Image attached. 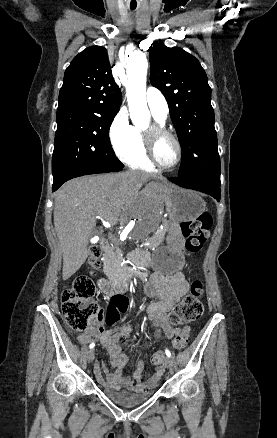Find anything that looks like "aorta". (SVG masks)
<instances>
[{"label":"aorta","instance_id":"1","mask_svg":"<svg viewBox=\"0 0 277 438\" xmlns=\"http://www.w3.org/2000/svg\"><path fill=\"white\" fill-rule=\"evenodd\" d=\"M127 83L126 91L132 123L145 127L150 120V112L146 102V75L148 62L140 51H134L126 59ZM162 218V204L154 193H145L138 197L124 214L117 235L119 245H134L153 232Z\"/></svg>","mask_w":277,"mask_h":438}]
</instances>
